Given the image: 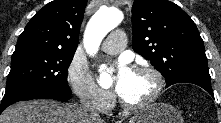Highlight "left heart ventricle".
I'll list each match as a JSON object with an SVG mask.
<instances>
[{
	"instance_id": "1",
	"label": "left heart ventricle",
	"mask_w": 221,
	"mask_h": 123,
	"mask_svg": "<svg viewBox=\"0 0 221 123\" xmlns=\"http://www.w3.org/2000/svg\"><path fill=\"white\" fill-rule=\"evenodd\" d=\"M154 88V79L149 74L133 71L122 83L118 93L129 103H140L152 94Z\"/></svg>"
}]
</instances>
